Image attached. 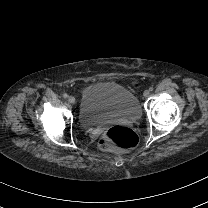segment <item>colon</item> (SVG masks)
Returning <instances> with one entry per match:
<instances>
[{"mask_svg":"<svg viewBox=\"0 0 208 208\" xmlns=\"http://www.w3.org/2000/svg\"><path fill=\"white\" fill-rule=\"evenodd\" d=\"M135 143V135L131 130L114 126L104 133L100 140V147L104 151L130 148Z\"/></svg>","mask_w":208,"mask_h":208,"instance_id":"obj_1","label":"colon"}]
</instances>
